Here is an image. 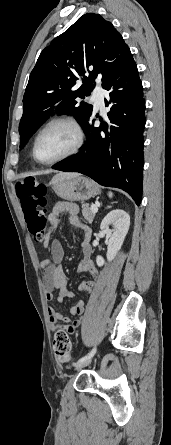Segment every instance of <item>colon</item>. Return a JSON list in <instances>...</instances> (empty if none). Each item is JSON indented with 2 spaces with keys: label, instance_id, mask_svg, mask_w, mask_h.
Here are the masks:
<instances>
[{
  "label": "colon",
  "instance_id": "1",
  "mask_svg": "<svg viewBox=\"0 0 171 445\" xmlns=\"http://www.w3.org/2000/svg\"><path fill=\"white\" fill-rule=\"evenodd\" d=\"M16 194L20 201L25 221L30 233L39 243L45 240L48 219L45 215L47 186L35 179L27 178L16 184ZM53 349L58 361H70L71 344L68 334L58 329L54 334Z\"/></svg>",
  "mask_w": 171,
  "mask_h": 445
}]
</instances>
